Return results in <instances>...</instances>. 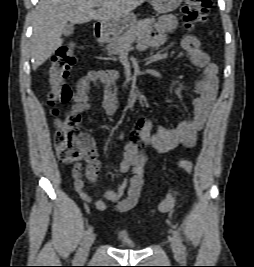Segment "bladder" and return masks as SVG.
I'll return each instance as SVG.
<instances>
[{
    "label": "bladder",
    "mask_w": 254,
    "mask_h": 267,
    "mask_svg": "<svg viewBox=\"0 0 254 267\" xmlns=\"http://www.w3.org/2000/svg\"><path fill=\"white\" fill-rule=\"evenodd\" d=\"M116 239H117L118 245L121 248H125V249H136L137 248V245L132 240V238L124 232L118 233Z\"/></svg>",
    "instance_id": "bladder-1"
}]
</instances>
